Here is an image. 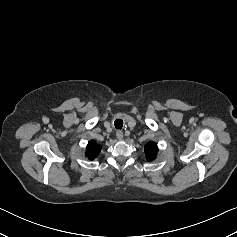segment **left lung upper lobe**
Listing matches in <instances>:
<instances>
[{"label":"left lung upper lobe","instance_id":"5c2ea615","mask_svg":"<svg viewBox=\"0 0 237 237\" xmlns=\"http://www.w3.org/2000/svg\"><path fill=\"white\" fill-rule=\"evenodd\" d=\"M158 152L157 144L154 142H148L145 145V154L148 161H151L155 158Z\"/></svg>","mask_w":237,"mask_h":237}]
</instances>
